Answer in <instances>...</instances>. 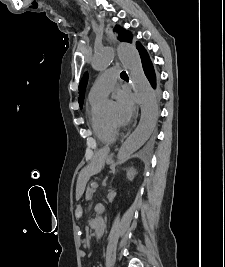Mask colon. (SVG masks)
Here are the masks:
<instances>
[{
    "mask_svg": "<svg viewBox=\"0 0 225 267\" xmlns=\"http://www.w3.org/2000/svg\"><path fill=\"white\" fill-rule=\"evenodd\" d=\"M76 218H80L83 214V209L80 205H77L74 210Z\"/></svg>",
    "mask_w": 225,
    "mask_h": 267,
    "instance_id": "obj_1",
    "label": "colon"
}]
</instances>
